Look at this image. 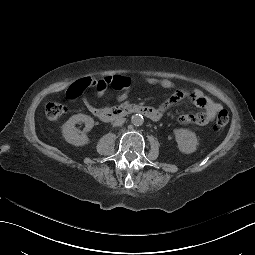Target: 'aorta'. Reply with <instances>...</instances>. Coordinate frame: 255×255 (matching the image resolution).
Returning a JSON list of instances; mask_svg holds the SVG:
<instances>
[{
  "instance_id": "1",
  "label": "aorta",
  "mask_w": 255,
  "mask_h": 255,
  "mask_svg": "<svg viewBox=\"0 0 255 255\" xmlns=\"http://www.w3.org/2000/svg\"><path fill=\"white\" fill-rule=\"evenodd\" d=\"M144 122V118L141 114H134L132 115L131 117V123L134 125V126H141Z\"/></svg>"
}]
</instances>
